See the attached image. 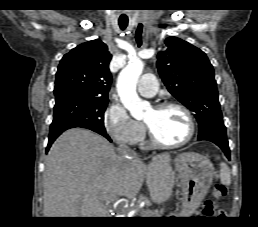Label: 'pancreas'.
Returning a JSON list of instances; mask_svg holds the SVG:
<instances>
[{"instance_id": "obj_1", "label": "pancreas", "mask_w": 258, "mask_h": 227, "mask_svg": "<svg viewBox=\"0 0 258 227\" xmlns=\"http://www.w3.org/2000/svg\"><path fill=\"white\" fill-rule=\"evenodd\" d=\"M164 209L161 210H156V211H151V210H142L140 212L141 217H159L160 214H163Z\"/></svg>"}]
</instances>
